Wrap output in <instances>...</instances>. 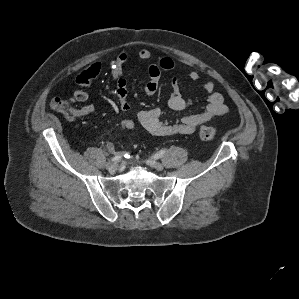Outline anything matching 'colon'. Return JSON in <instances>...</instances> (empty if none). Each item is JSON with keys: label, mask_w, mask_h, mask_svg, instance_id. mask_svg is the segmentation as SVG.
Returning a JSON list of instances; mask_svg holds the SVG:
<instances>
[{"label": "colon", "mask_w": 299, "mask_h": 299, "mask_svg": "<svg viewBox=\"0 0 299 299\" xmlns=\"http://www.w3.org/2000/svg\"><path fill=\"white\" fill-rule=\"evenodd\" d=\"M51 107L68 121H75L81 112L70 101L61 98L53 99ZM135 127L136 124L133 120H124L120 123V129L123 131H130L135 129ZM198 136L205 141L213 140L217 136V130L211 126H202L198 131Z\"/></svg>", "instance_id": "5ec220e1"}]
</instances>
